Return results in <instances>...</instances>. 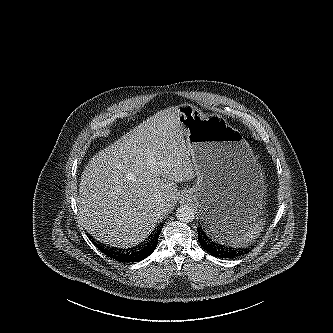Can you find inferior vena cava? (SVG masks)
Listing matches in <instances>:
<instances>
[{"label": "inferior vena cava", "instance_id": "1", "mask_svg": "<svg viewBox=\"0 0 333 333\" xmlns=\"http://www.w3.org/2000/svg\"><path fill=\"white\" fill-rule=\"evenodd\" d=\"M157 212L159 215H164L165 213H167L168 210L166 209L165 204H160Z\"/></svg>", "mask_w": 333, "mask_h": 333}]
</instances>
